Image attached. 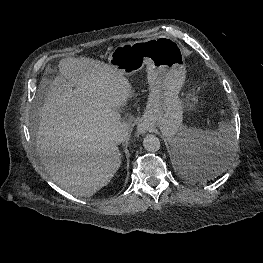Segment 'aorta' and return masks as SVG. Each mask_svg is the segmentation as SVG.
I'll use <instances>...</instances> for the list:
<instances>
[{
	"instance_id": "1",
	"label": "aorta",
	"mask_w": 263,
	"mask_h": 263,
	"mask_svg": "<svg viewBox=\"0 0 263 263\" xmlns=\"http://www.w3.org/2000/svg\"><path fill=\"white\" fill-rule=\"evenodd\" d=\"M143 146L149 152H156L160 149V140L155 135H147L143 139Z\"/></svg>"
}]
</instances>
